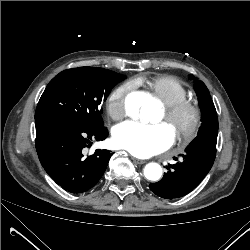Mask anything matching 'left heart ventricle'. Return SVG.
<instances>
[{"label":"left heart ventricle","instance_id":"obj_1","mask_svg":"<svg viewBox=\"0 0 250 250\" xmlns=\"http://www.w3.org/2000/svg\"><path fill=\"white\" fill-rule=\"evenodd\" d=\"M163 118V117H162ZM187 120H188V118L187 117H185L184 119H183V121H182V123L183 124H185L186 122H187ZM162 121V120H161ZM166 125V124H165ZM167 126V125H166ZM168 127V129L172 132V129L169 127V126H167Z\"/></svg>","mask_w":250,"mask_h":250}]
</instances>
